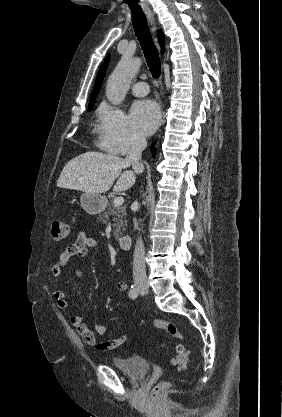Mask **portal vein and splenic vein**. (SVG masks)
I'll use <instances>...</instances> for the list:
<instances>
[{
    "instance_id": "obj_1",
    "label": "portal vein and splenic vein",
    "mask_w": 282,
    "mask_h": 417,
    "mask_svg": "<svg viewBox=\"0 0 282 417\" xmlns=\"http://www.w3.org/2000/svg\"><path fill=\"white\" fill-rule=\"evenodd\" d=\"M123 202H124L123 196H116V198H114L115 206H117V204H123Z\"/></svg>"
}]
</instances>
